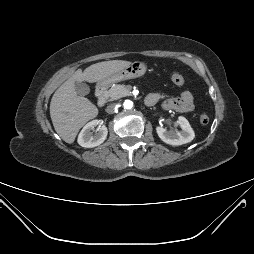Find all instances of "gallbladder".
I'll list each match as a JSON object with an SVG mask.
<instances>
[{
  "label": "gallbladder",
  "mask_w": 254,
  "mask_h": 254,
  "mask_svg": "<svg viewBox=\"0 0 254 254\" xmlns=\"http://www.w3.org/2000/svg\"><path fill=\"white\" fill-rule=\"evenodd\" d=\"M75 90H76V93L80 96H85V95L89 94V92H90L89 86L83 82H76L75 83Z\"/></svg>",
  "instance_id": "1"
}]
</instances>
